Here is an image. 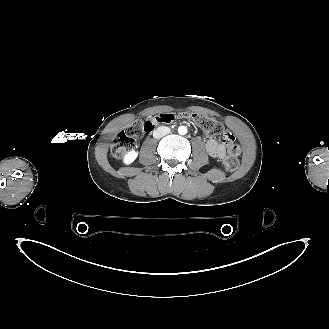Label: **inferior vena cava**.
Here are the masks:
<instances>
[{
	"mask_svg": "<svg viewBox=\"0 0 329 329\" xmlns=\"http://www.w3.org/2000/svg\"><path fill=\"white\" fill-rule=\"evenodd\" d=\"M170 133V128L166 126H161L158 127L154 132H153V137L156 139H160L163 136L167 135Z\"/></svg>",
	"mask_w": 329,
	"mask_h": 329,
	"instance_id": "inferior-vena-cava-1",
	"label": "inferior vena cava"
}]
</instances>
